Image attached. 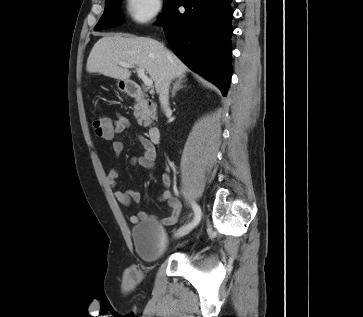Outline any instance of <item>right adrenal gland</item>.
I'll use <instances>...</instances> for the list:
<instances>
[{
  "label": "right adrenal gland",
  "instance_id": "1",
  "mask_svg": "<svg viewBox=\"0 0 363 317\" xmlns=\"http://www.w3.org/2000/svg\"><path fill=\"white\" fill-rule=\"evenodd\" d=\"M186 81V77L182 76L179 77V79L174 83L172 91H171V97L173 98L175 96L176 91L182 89L184 86L182 83Z\"/></svg>",
  "mask_w": 363,
  "mask_h": 317
}]
</instances>
